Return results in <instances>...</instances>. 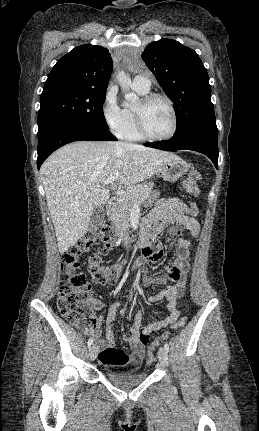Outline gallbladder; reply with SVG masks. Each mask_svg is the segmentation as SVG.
<instances>
[{
    "mask_svg": "<svg viewBox=\"0 0 259 431\" xmlns=\"http://www.w3.org/2000/svg\"><path fill=\"white\" fill-rule=\"evenodd\" d=\"M105 212L102 205L94 206L88 225V230L94 232L104 221Z\"/></svg>",
    "mask_w": 259,
    "mask_h": 431,
    "instance_id": "gallbladder-1",
    "label": "gallbladder"
}]
</instances>
